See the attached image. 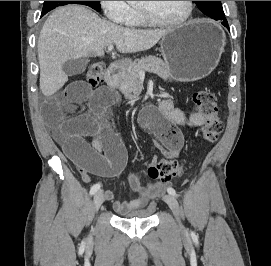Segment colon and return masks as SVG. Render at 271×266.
<instances>
[{
    "label": "colon",
    "instance_id": "obj_1",
    "mask_svg": "<svg viewBox=\"0 0 271 266\" xmlns=\"http://www.w3.org/2000/svg\"><path fill=\"white\" fill-rule=\"evenodd\" d=\"M105 64L92 63L87 70V83L91 87L97 86L103 77ZM193 100L204 117L201 137L208 143L215 142L223 131L224 123L218 116V106L215 94L209 89L197 91ZM182 166L176 160H162L148 168V175L153 180L171 181L181 176Z\"/></svg>",
    "mask_w": 271,
    "mask_h": 266
}]
</instances>
